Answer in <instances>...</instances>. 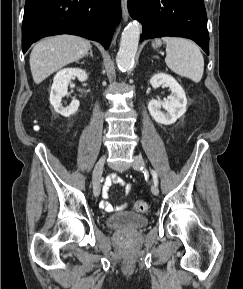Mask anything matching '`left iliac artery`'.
<instances>
[{
    "label": "left iliac artery",
    "mask_w": 243,
    "mask_h": 289,
    "mask_svg": "<svg viewBox=\"0 0 243 289\" xmlns=\"http://www.w3.org/2000/svg\"><path fill=\"white\" fill-rule=\"evenodd\" d=\"M142 169H143V168H141L140 170H142ZM150 171H151V174H152L154 183H155L156 185H158V176H157V173H156L154 170H152V169H150Z\"/></svg>",
    "instance_id": "44dca946"
}]
</instances>
